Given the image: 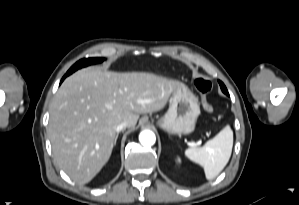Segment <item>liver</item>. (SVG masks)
I'll return each instance as SVG.
<instances>
[{
    "label": "liver",
    "mask_w": 299,
    "mask_h": 205,
    "mask_svg": "<svg viewBox=\"0 0 299 205\" xmlns=\"http://www.w3.org/2000/svg\"><path fill=\"white\" fill-rule=\"evenodd\" d=\"M181 83L146 72L88 67L67 77L50 104L49 138L60 168L76 183L90 182L108 162L123 121L161 110Z\"/></svg>",
    "instance_id": "obj_1"
}]
</instances>
